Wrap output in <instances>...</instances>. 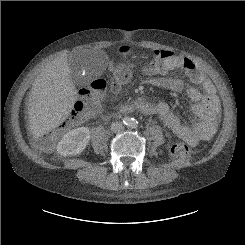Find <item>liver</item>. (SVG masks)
<instances>
[{"mask_svg":"<svg viewBox=\"0 0 245 245\" xmlns=\"http://www.w3.org/2000/svg\"><path fill=\"white\" fill-rule=\"evenodd\" d=\"M76 94L68 57L60 56L47 64L29 95V125L34 138L54 130L70 116Z\"/></svg>","mask_w":245,"mask_h":245,"instance_id":"liver-1","label":"liver"}]
</instances>
